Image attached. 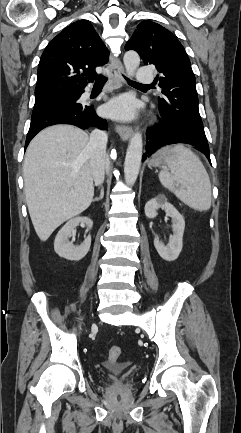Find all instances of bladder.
I'll list each match as a JSON object with an SVG mask.
<instances>
[{
  "label": "bladder",
  "mask_w": 241,
  "mask_h": 433,
  "mask_svg": "<svg viewBox=\"0 0 241 433\" xmlns=\"http://www.w3.org/2000/svg\"><path fill=\"white\" fill-rule=\"evenodd\" d=\"M121 382H122V381H121L120 379L116 381V383H118V384L121 383Z\"/></svg>",
  "instance_id": "obj_1"
}]
</instances>
